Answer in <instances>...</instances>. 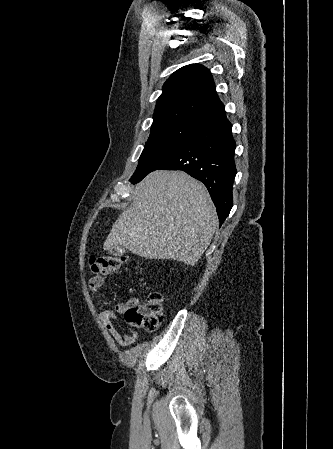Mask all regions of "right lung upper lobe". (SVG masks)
Masks as SVG:
<instances>
[{
  "label": "right lung upper lobe",
  "instance_id": "right-lung-upper-lobe-1",
  "mask_svg": "<svg viewBox=\"0 0 333 449\" xmlns=\"http://www.w3.org/2000/svg\"><path fill=\"white\" fill-rule=\"evenodd\" d=\"M153 118L151 131L175 124L203 130L226 118L209 69L190 64L175 71L163 86Z\"/></svg>",
  "mask_w": 333,
  "mask_h": 449
}]
</instances>
